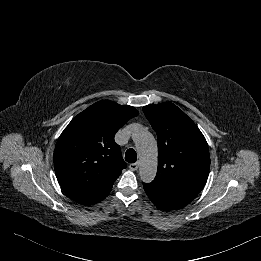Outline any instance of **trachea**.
<instances>
[{
	"instance_id": "trachea-1",
	"label": "trachea",
	"mask_w": 261,
	"mask_h": 261,
	"mask_svg": "<svg viewBox=\"0 0 261 261\" xmlns=\"http://www.w3.org/2000/svg\"><path fill=\"white\" fill-rule=\"evenodd\" d=\"M125 160L128 163H135L137 160V155L134 149L130 148L125 153Z\"/></svg>"
}]
</instances>
